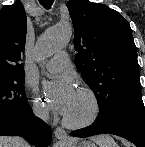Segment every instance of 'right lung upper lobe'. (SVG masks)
<instances>
[{
  "instance_id": "1",
  "label": "right lung upper lobe",
  "mask_w": 145,
  "mask_h": 147,
  "mask_svg": "<svg viewBox=\"0 0 145 147\" xmlns=\"http://www.w3.org/2000/svg\"><path fill=\"white\" fill-rule=\"evenodd\" d=\"M27 18L17 0L0 10V80L24 75L22 59L25 48Z\"/></svg>"
}]
</instances>
